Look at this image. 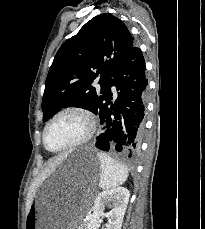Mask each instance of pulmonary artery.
<instances>
[{"mask_svg":"<svg viewBox=\"0 0 205 229\" xmlns=\"http://www.w3.org/2000/svg\"><path fill=\"white\" fill-rule=\"evenodd\" d=\"M111 89H112V91H113V92H115V87H114V86H112V88H111Z\"/></svg>","mask_w":205,"mask_h":229,"instance_id":"e3ab8cb5","label":"pulmonary artery"}]
</instances>
